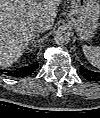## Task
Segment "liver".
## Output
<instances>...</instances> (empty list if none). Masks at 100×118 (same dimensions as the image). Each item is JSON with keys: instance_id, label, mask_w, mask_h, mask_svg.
Wrapping results in <instances>:
<instances>
[{"instance_id": "1", "label": "liver", "mask_w": 100, "mask_h": 118, "mask_svg": "<svg viewBox=\"0 0 100 118\" xmlns=\"http://www.w3.org/2000/svg\"><path fill=\"white\" fill-rule=\"evenodd\" d=\"M0 0V65L10 66L23 54L33 36L31 25L44 21L49 28L62 0ZM42 1V2H41Z\"/></svg>"}]
</instances>
